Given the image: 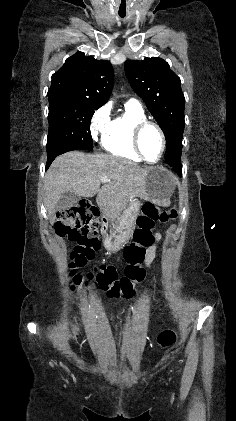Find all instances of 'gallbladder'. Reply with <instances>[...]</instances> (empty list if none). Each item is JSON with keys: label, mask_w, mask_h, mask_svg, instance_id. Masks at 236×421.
Listing matches in <instances>:
<instances>
[{"label": "gallbladder", "mask_w": 236, "mask_h": 421, "mask_svg": "<svg viewBox=\"0 0 236 421\" xmlns=\"http://www.w3.org/2000/svg\"><path fill=\"white\" fill-rule=\"evenodd\" d=\"M81 196L75 194V192H63L62 196L57 202L56 211H63V208H69V206H74L75 202L80 200Z\"/></svg>", "instance_id": "1"}]
</instances>
